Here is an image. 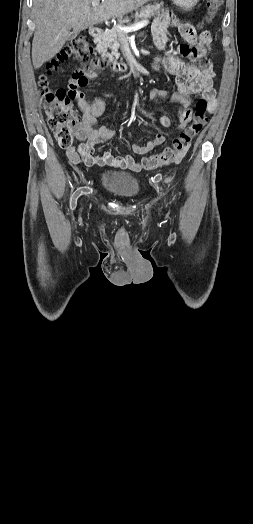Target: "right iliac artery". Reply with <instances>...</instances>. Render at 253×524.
<instances>
[{
	"mask_svg": "<svg viewBox=\"0 0 253 524\" xmlns=\"http://www.w3.org/2000/svg\"><path fill=\"white\" fill-rule=\"evenodd\" d=\"M80 196L79 193L77 192H74L72 198H71V201H70V207L72 210H74L76 208V205H77V199L78 197Z\"/></svg>",
	"mask_w": 253,
	"mask_h": 524,
	"instance_id": "1",
	"label": "right iliac artery"
}]
</instances>
